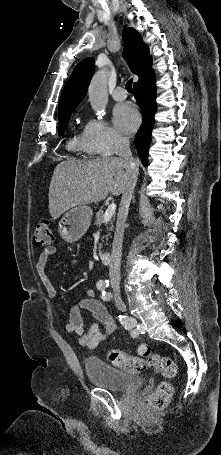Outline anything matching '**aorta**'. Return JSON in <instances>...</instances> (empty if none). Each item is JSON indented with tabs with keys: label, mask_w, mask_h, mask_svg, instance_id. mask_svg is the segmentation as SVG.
<instances>
[{
	"label": "aorta",
	"mask_w": 221,
	"mask_h": 455,
	"mask_svg": "<svg viewBox=\"0 0 221 455\" xmlns=\"http://www.w3.org/2000/svg\"><path fill=\"white\" fill-rule=\"evenodd\" d=\"M88 96L92 109L97 112V115H103L108 102L107 74L105 71H99L93 76L89 85Z\"/></svg>",
	"instance_id": "aorta-1"
}]
</instances>
